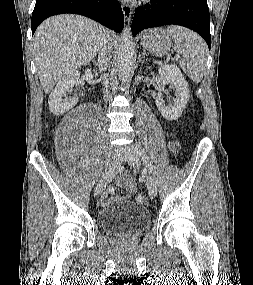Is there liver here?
<instances>
[{"mask_svg":"<svg viewBox=\"0 0 253 285\" xmlns=\"http://www.w3.org/2000/svg\"><path fill=\"white\" fill-rule=\"evenodd\" d=\"M105 33L112 46L115 33L109 30ZM102 35L100 24L80 15L53 16L38 27L34 56L45 93L68 73L90 62L99 51Z\"/></svg>","mask_w":253,"mask_h":285,"instance_id":"1","label":"liver"}]
</instances>
